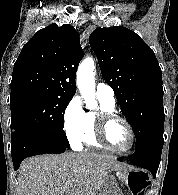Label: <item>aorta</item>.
Wrapping results in <instances>:
<instances>
[{
    "mask_svg": "<svg viewBox=\"0 0 178 195\" xmlns=\"http://www.w3.org/2000/svg\"><path fill=\"white\" fill-rule=\"evenodd\" d=\"M77 87L88 109L97 107L95 100V63L93 58H85L79 65L76 75Z\"/></svg>",
    "mask_w": 178,
    "mask_h": 195,
    "instance_id": "1",
    "label": "aorta"
}]
</instances>
